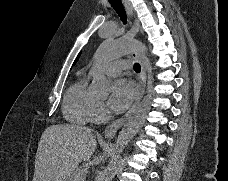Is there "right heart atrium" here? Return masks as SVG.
Returning a JSON list of instances; mask_svg holds the SVG:
<instances>
[{"label":"right heart atrium","mask_w":228,"mask_h":181,"mask_svg":"<svg viewBox=\"0 0 228 181\" xmlns=\"http://www.w3.org/2000/svg\"><path fill=\"white\" fill-rule=\"evenodd\" d=\"M106 115V108L102 101H97L93 114H92V120L96 123L101 122Z\"/></svg>","instance_id":"1"}]
</instances>
